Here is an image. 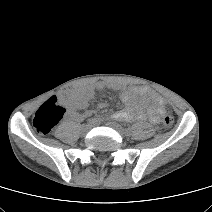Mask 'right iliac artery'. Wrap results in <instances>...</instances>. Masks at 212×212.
Wrapping results in <instances>:
<instances>
[{"label":"right iliac artery","mask_w":212,"mask_h":212,"mask_svg":"<svg viewBox=\"0 0 212 212\" xmlns=\"http://www.w3.org/2000/svg\"><path fill=\"white\" fill-rule=\"evenodd\" d=\"M98 122V119H96V118H92V119H90L89 120V124H95V123H97Z\"/></svg>","instance_id":"1"}]
</instances>
